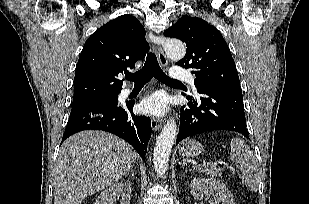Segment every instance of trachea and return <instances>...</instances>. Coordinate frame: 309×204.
<instances>
[{
  "label": "trachea",
  "instance_id": "3493384b",
  "mask_svg": "<svg viewBox=\"0 0 309 204\" xmlns=\"http://www.w3.org/2000/svg\"><path fill=\"white\" fill-rule=\"evenodd\" d=\"M152 77L156 78L165 84H181L178 80L168 77L160 68L157 57L154 53H149L146 57V61L141 70L135 73H129L125 75V78L133 81L135 85H143L148 82Z\"/></svg>",
  "mask_w": 309,
  "mask_h": 204
}]
</instances>
